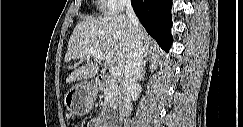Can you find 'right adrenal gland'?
Returning <instances> with one entry per match:
<instances>
[{
  "mask_svg": "<svg viewBox=\"0 0 243 127\" xmlns=\"http://www.w3.org/2000/svg\"><path fill=\"white\" fill-rule=\"evenodd\" d=\"M144 75H145V70H144V68H143L142 71H141V75H140L139 80H142L143 77H144Z\"/></svg>",
  "mask_w": 243,
  "mask_h": 127,
  "instance_id": "obj_1",
  "label": "right adrenal gland"
}]
</instances>
